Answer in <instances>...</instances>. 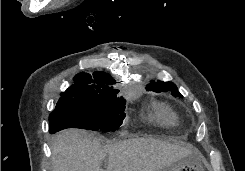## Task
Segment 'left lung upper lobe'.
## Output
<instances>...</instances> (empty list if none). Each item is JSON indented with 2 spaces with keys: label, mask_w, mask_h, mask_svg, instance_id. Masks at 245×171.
I'll return each instance as SVG.
<instances>
[{
  "label": "left lung upper lobe",
  "mask_w": 245,
  "mask_h": 171,
  "mask_svg": "<svg viewBox=\"0 0 245 171\" xmlns=\"http://www.w3.org/2000/svg\"><path fill=\"white\" fill-rule=\"evenodd\" d=\"M147 89L158 93L171 91L173 96L178 95L179 97H182V95L175 90L176 85L173 82L164 83L162 81H151L150 84L147 85Z\"/></svg>",
  "instance_id": "1"
}]
</instances>
